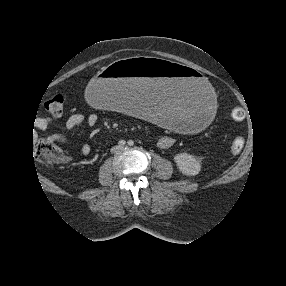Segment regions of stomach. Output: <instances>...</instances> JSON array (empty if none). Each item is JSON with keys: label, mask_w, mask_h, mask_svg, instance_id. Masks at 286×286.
I'll use <instances>...</instances> for the list:
<instances>
[{"label": "stomach", "mask_w": 286, "mask_h": 286, "mask_svg": "<svg viewBox=\"0 0 286 286\" xmlns=\"http://www.w3.org/2000/svg\"><path fill=\"white\" fill-rule=\"evenodd\" d=\"M90 104L124 109L175 133L195 135L212 123L217 97L210 80L165 58L133 57L105 67L85 89Z\"/></svg>", "instance_id": "stomach-1"}]
</instances>
